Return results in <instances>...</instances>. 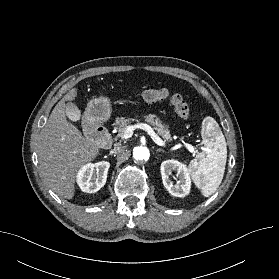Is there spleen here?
Instances as JSON below:
<instances>
[{"mask_svg": "<svg viewBox=\"0 0 279 279\" xmlns=\"http://www.w3.org/2000/svg\"><path fill=\"white\" fill-rule=\"evenodd\" d=\"M204 147L189 164V172L204 197L216 192L222 182L227 159L225 137L212 117L202 121Z\"/></svg>", "mask_w": 279, "mask_h": 279, "instance_id": "obj_1", "label": "spleen"}]
</instances>
